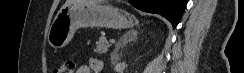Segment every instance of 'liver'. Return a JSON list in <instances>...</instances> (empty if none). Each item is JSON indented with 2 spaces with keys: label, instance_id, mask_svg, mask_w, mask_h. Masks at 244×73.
I'll use <instances>...</instances> for the list:
<instances>
[{
  "label": "liver",
  "instance_id": "6515ba94",
  "mask_svg": "<svg viewBox=\"0 0 244 73\" xmlns=\"http://www.w3.org/2000/svg\"><path fill=\"white\" fill-rule=\"evenodd\" d=\"M75 1H82V2H86V3H96V1H89V0H66L65 4L63 6L68 5Z\"/></svg>",
  "mask_w": 244,
  "mask_h": 73
}]
</instances>
